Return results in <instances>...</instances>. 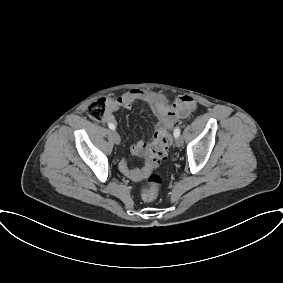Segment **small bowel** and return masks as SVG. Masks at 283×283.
I'll return each mask as SVG.
<instances>
[{
	"label": "small bowel",
	"instance_id": "small-bowel-1",
	"mask_svg": "<svg viewBox=\"0 0 283 283\" xmlns=\"http://www.w3.org/2000/svg\"><path fill=\"white\" fill-rule=\"evenodd\" d=\"M137 101L146 102L153 115L157 119V123L154 128L159 129L168 120L174 119L178 116V106L179 104H188L187 111L185 115L188 114L189 110L194 106L192 99L189 96H181L177 99V104L174 106L164 97L147 93L141 90H131L120 97L107 99V115L106 121L112 124L116 123L114 112L120 109H130ZM146 142L139 140L133 144L130 151L133 155H142L146 149ZM120 172L133 181L141 180L146 174L147 170L145 168H131L128 160L123 159L119 163Z\"/></svg>",
	"mask_w": 283,
	"mask_h": 283
}]
</instances>
